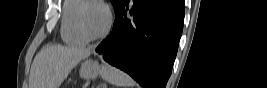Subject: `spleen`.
I'll return each instance as SVG.
<instances>
[{"mask_svg": "<svg viewBox=\"0 0 267 88\" xmlns=\"http://www.w3.org/2000/svg\"><path fill=\"white\" fill-rule=\"evenodd\" d=\"M101 75L106 82L120 88H133L135 86L134 80L128 74L115 67L102 66Z\"/></svg>", "mask_w": 267, "mask_h": 88, "instance_id": "3e777b00", "label": "spleen"}]
</instances>
